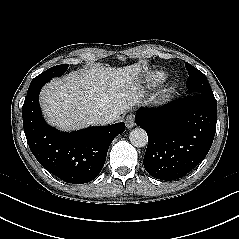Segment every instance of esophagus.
Returning <instances> with one entry per match:
<instances>
[{"mask_svg":"<svg viewBox=\"0 0 239 239\" xmlns=\"http://www.w3.org/2000/svg\"><path fill=\"white\" fill-rule=\"evenodd\" d=\"M125 125L128 129H131L135 125V120L133 114H130L125 119Z\"/></svg>","mask_w":239,"mask_h":239,"instance_id":"1","label":"esophagus"}]
</instances>
